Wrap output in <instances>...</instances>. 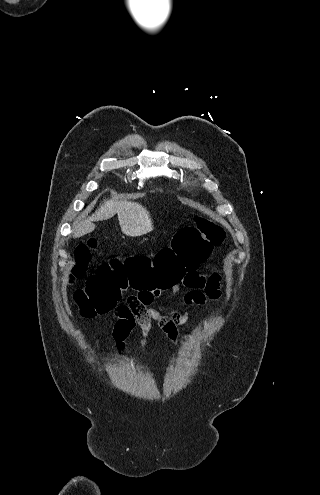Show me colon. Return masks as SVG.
I'll return each mask as SVG.
<instances>
[{
	"label": "colon",
	"mask_w": 320,
	"mask_h": 495,
	"mask_svg": "<svg viewBox=\"0 0 320 495\" xmlns=\"http://www.w3.org/2000/svg\"><path fill=\"white\" fill-rule=\"evenodd\" d=\"M224 238L225 232L219 224L197 216L196 225L178 230L171 246L161 249L155 257H114L101 264L85 287L76 291L75 301L86 317L122 309L124 305L119 306L118 302L128 288L138 290L139 298L146 301L143 292L159 293L180 282L185 273L195 271L206 261ZM96 247L97 240L93 238L76 248L72 280L85 275L91 250Z\"/></svg>",
	"instance_id": "1"
}]
</instances>
